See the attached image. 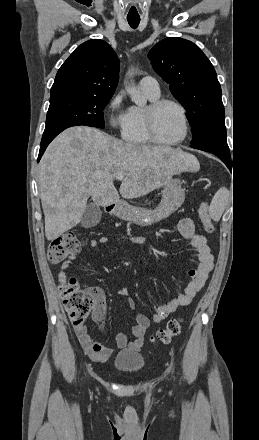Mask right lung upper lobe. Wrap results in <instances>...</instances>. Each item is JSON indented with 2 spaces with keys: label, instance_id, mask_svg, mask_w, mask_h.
Listing matches in <instances>:
<instances>
[{
  "label": "right lung upper lobe",
  "instance_id": "cb5924a9",
  "mask_svg": "<svg viewBox=\"0 0 259 440\" xmlns=\"http://www.w3.org/2000/svg\"><path fill=\"white\" fill-rule=\"evenodd\" d=\"M119 79V60L111 46L99 39L84 42L57 72L50 95L82 92L113 95Z\"/></svg>",
  "mask_w": 259,
  "mask_h": 440
}]
</instances>
